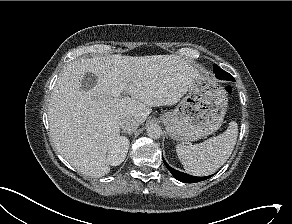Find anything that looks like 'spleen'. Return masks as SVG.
I'll return each instance as SVG.
<instances>
[{"instance_id":"1","label":"spleen","mask_w":292,"mask_h":224,"mask_svg":"<svg viewBox=\"0 0 292 224\" xmlns=\"http://www.w3.org/2000/svg\"><path fill=\"white\" fill-rule=\"evenodd\" d=\"M238 136V125L229 123L227 130L196 145L178 144L176 152L187 173L207 176L218 170L230 157Z\"/></svg>"}]
</instances>
